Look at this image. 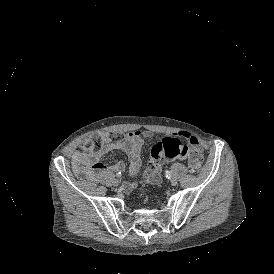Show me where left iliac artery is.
Segmentation results:
<instances>
[{
	"label": "left iliac artery",
	"mask_w": 274,
	"mask_h": 274,
	"mask_svg": "<svg viewBox=\"0 0 274 274\" xmlns=\"http://www.w3.org/2000/svg\"><path fill=\"white\" fill-rule=\"evenodd\" d=\"M171 175H172V172H171L170 170H167V171L165 172V176H166L168 179L171 177Z\"/></svg>",
	"instance_id": "44dca946"
}]
</instances>
